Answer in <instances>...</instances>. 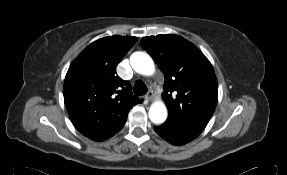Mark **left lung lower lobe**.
<instances>
[{"label":"left lung lower lobe","mask_w":287,"mask_h":175,"mask_svg":"<svg viewBox=\"0 0 287 175\" xmlns=\"http://www.w3.org/2000/svg\"><path fill=\"white\" fill-rule=\"evenodd\" d=\"M154 130L163 139L175 145L186 144L190 142L191 140H193L189 136L173 129L172 127L166 124H162L161 126L154 127Z\"/></svg>","instance_id":"left-lung-lower-lobe-1"}]
</instances>
